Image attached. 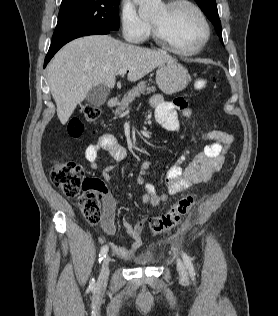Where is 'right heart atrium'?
<instances>
[{"mask_svg": "<svg viewBox=\"0 0 278 316\" xmlns=\"http://www.w3.org/2000/svg\"><path fill=\"white\" fill-rule=\"evenodd\" d=\"M120 26L128 42H142L150 31L149 23L141 18L130 0H123L120 8Z\"/></svg>", "mask_w": 278, "mask_h": 316, "instance_id": "right-heart-atrium-1", "label": "right heart atrium"}]
</instances>
